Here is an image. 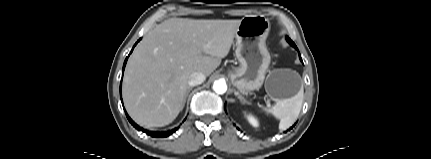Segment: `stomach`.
<instances>
[{
	"instance_id": "1",
	"label": "stomach",
	"mask_w": 431,
	"mask_h": 159,
	"mask_svg": "<svg viewBox=\"0 0 431 159\" xmlns=\"http://www.w3.org/2000/svg\"><path fill=\"white\" fill-rule=\"evenodd\" d=\"M269 30L270 22L264 15L241 19L235 33L239 66L229 71V77L242 94L258 90L265 81L266 92L272 99H289L301 90V77L295 71L279 69L269 72L265 79L271 60L265 43Z\"/></svg>"
}]
</instances>
